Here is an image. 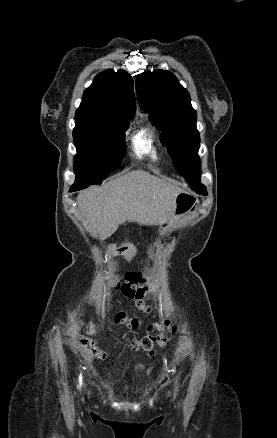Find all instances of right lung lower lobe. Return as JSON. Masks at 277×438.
I'll list each match as a JSON object with an SVG mask.
<instances>
[{"label": "right lung lower lobe", "instance_id": "98d812e1", "mask_svg": "<svg viewBox=\"0 0 277 438\" xmlns=\"http://www.w3.org/2000/svg\"><path fill=\"white\" fill-rule=\"evenodd\" d=\"M77 190H81L80 188H74L73 186L70 188V192H72V191H77Z\"/></svg>", "mask_w": 277, "mask_h": 438}]
</instances>
